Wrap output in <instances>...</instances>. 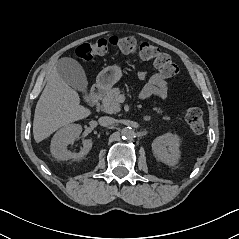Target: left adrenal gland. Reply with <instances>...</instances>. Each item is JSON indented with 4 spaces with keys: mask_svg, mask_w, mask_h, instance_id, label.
I'll use <instances>...</instances> for the list:
<instances>
[{
    "mask_svg": "<svg viewBox=\"0 0 239 239\" xmlns=\"http://www.w3.org/2000/svg\"><path fill=\"white\" fill-rule=\"evenodd\" d=\"M151 120V117L150 116H145L144 117V121H150Z\"/></svg>",
    "mask_w": 239,
    "mask_h": 239,
    "instance_id": "1",
    "label": "left adrenal gland"
}]
</instances>
